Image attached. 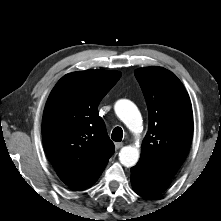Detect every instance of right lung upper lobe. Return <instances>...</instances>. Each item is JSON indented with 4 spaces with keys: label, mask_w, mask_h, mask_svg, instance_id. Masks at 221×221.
<instances>
[{
    "label": "right lung upper lobe",
    "mask_w": 221,
    "mask_h": 221,
    "mask_svg": "<svg viewBox=\"0 0 221 221\" xmlns=\"http://www.w3.org/2000/svg\"><path fill=\"white\" fill-rule=\"evenodd\" d=\"M120 77L118 71L73 72L50 93L42 120L43 144L57 175L71 188L92 186L114 153L97 107Z\"/></svg>",
    "instance_id": "1"
}]
</instances>
